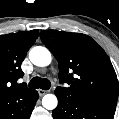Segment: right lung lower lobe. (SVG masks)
Here are the masks:
<instances>
[{"label": "right lung lower lobe", "mask_w": 119, "mask_h": 119, "mask_svg": "<svg viewBox=\"0 0 119 119\" xmlns=\"http://www.w3.org/2000/svg\"><path fill=\"white\" fill-rule=\"evenodd\" d=\"M38 96V92L32 90L28 94L1 102L0 119H29Z\"/></svg>", "instance_id": "1"}]
</instances>
